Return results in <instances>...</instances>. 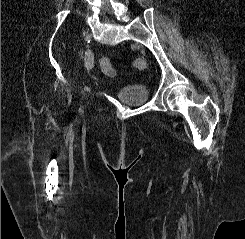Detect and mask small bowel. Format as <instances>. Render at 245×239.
<instances>
[{
    "label": "small bowel",
    "mask_w": 245,
    "mask_h": 239,
    "mask_svg": "<svg viewBox=\"0 0 245 239\" xmlns=\"http://www.w3.org/2000/svg\"><path fill=\"white\" fill-rule=\"evenodd\" d=\"M87 67L90 71H93L94 69V60L92 57H89L87 60Z\"/></svg>",
    "instance_id": "1"
}]
</instances>
